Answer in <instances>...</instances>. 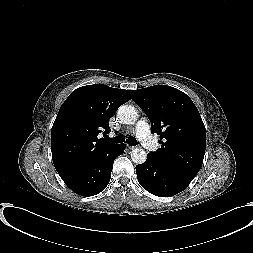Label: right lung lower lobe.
Returning <instances> with one entry per match:
<instances>
[{
  "label": "right lung lower lobe",
  "mask_w": 253,
  "mask_h": 253,
  "mask_svg": "<svg viewBox=\"0 0 253 253\" xmlns=\"http://www.w3.org/2000/svg\"><path fill=\"white\" fill-rule=\"evenodd\" d=\"M124 144H115L87 167L61 176L65 184L76 194L94 196L103 191L111 178L113 162L124 152Z\"/></svg>",
  "instance_id": "obj_1"
}]
</instances>
